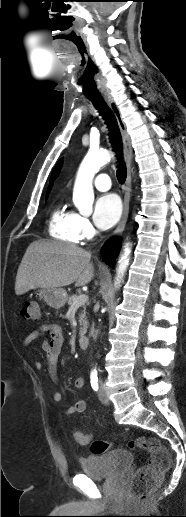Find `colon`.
Returning a JSON list of instances; mask_svg holds the SVG:
<instances>
[{
  "label": "colon",
  "instance_id": "obj_1",
  "mask_svg": "<svg viewBox=\"0 0 186 517\" xmlns=\"http://www.w3.org/2000/svg\"><path fill=\"white\" fill-rule=\"evenodd\" d=\"M21 317L25 320H38L40 317L39 303L36 301L26 302L21 309ZM75 440L78 443H83L86 441V437L76 432ZM110 447L111 444L107 441L94 440L91 443V452L102 454ZM127 447L144 450L150 455L148 463L136 471L128 488L131 499L142 500L161 483L165 472L171 466V456L167 448L153 437H139L130 440L127 442Z\"/></svg>",
  "mask_w": 186,
  "mask_h": 517
}]
</instances>
